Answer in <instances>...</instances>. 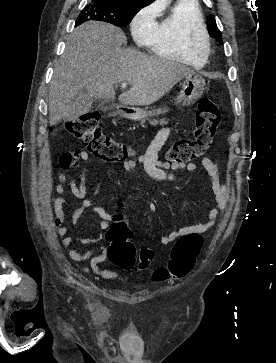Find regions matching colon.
I'll return each instance as SVG.
<instances>
[{"mask_svg": "<svg viewBox=\"0 0 276 363\" xmlns=\"http://www.w3.org/2000/svg\"><path fill=\"white\" fill-rule=\"evenodd\" d=\"M99 122L98 112H88L77 119L67 121L64 129L80 139L92 154L109 161L125 160L129 151L99 130ZM219 122L220 112L216 104L210 99L201 100L191 136L175 141L167 152L168 159L176 164H186L205 155L211 147ZM106 237L110 244L107 250L108 258L122 269L129 270L135 265L139 269H145L154 259V251L147 246H142L137 252L131 239V231L123 224H112ZM202 243V237L198 233L179 238L171 250L168 264L155 269L153 280L165 281L187 276L194 268Z\"/></svg>", "mask_w": 276, "mask_h": 363, "instance_id": "1", "label": "colon"}]
</instances>
